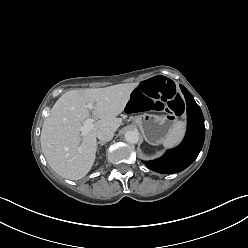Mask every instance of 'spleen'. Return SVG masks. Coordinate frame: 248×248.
Instances as JSON below:
<instances>
[{"label":"spleen","instance_id":"1","mask_svg":"<svg viewBox=\"0 0 248 248\" xmlns=\"http://www.w3.org/2000/svg\"><path fill=\"white\" fill-rule=\"evenodd\" d=\"M185 133V124L183 121L177 122L165 140L162 142L165 148H171L180 143Z\"/></svg>","mask_w":248,"mask_h":248}]
</instances>
